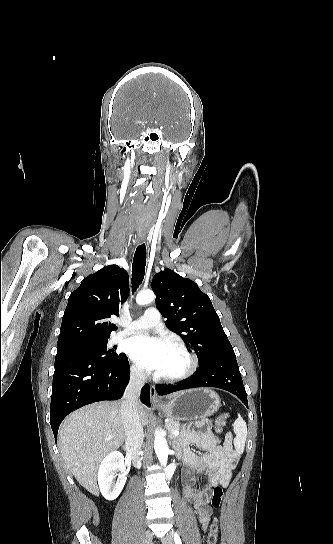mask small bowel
Segmentation results:
<instances>
[{
  "label": "small bowel",
  "mask_w": 333,
  "mask_h": 544,
  "mask_svg": "<svg viewBox=\"0 0 333 544\" xmlns=\"http://www.w3.org/2000/svg\"><path fill=\"white\" fill-rule=\"evenodd\" d=\"M193 426L181 437L179 448L186 464L184 492L193 502L205 532L213 512L208 504L211 490L216 486H227L240 455L233 446L231 434H227L224 443L220 444L208 420L196 421ZM190 445L200 452L192 451Z\"/></svg>",
  "instance_id": "1"
}]
</instances>
